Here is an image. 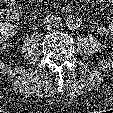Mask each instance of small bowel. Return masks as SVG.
<instances>
[{
  "label": "small bowel",
  "instance_id": "obj_1",
  "mask_svg": "<svg viewBox=\"0 0 113 113\" xmlns=\"http://www.w3.org/2000/svg\"><path fill=\"white\" fill-rule=\"evenodd\" d=\"M100 2H106L110 0H98ZM113 2V0H112ZM11 17L17 21L19 19V12L16 9H10ZM97 31L102 36L112 37L113 36V21L107 25H99Z\"/></svg>",
  "mask_w": 113,
  "mask_h": 113
}]
</instances>
